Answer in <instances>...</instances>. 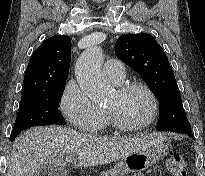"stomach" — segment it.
I'll return each mask as SVG.
<instances>
[{"label": "stomach", "mask_w": 205, "mask_h": 176, "mask_svg": "<svg viewBox=\"0 0 205 176\" xmlns=\"http://www.w3.org/2000/svg\"><path fill=\"white\" fill-rule=\"evenodd\" d=\"M168 154V145L159 143L158 145L143 151L132 153L124 158L114 167L106 172L104 176H125L128 173L146 170L151 165L162 161Z\"/></svg>", "instance_id": "1"}]
</instances>
